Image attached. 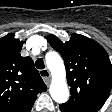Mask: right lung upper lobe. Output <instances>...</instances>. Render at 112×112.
Returning a JSON list of instances; mask_svg holds the SVG:
<instances>
[{"label":"right lung upper lobe","mask_w":112,"mask_h":112,"mask_svg":"<svg viewBox=\"0 0 112 112\" xmlns=\"http://www.w3.org/2000/svg\"><path fill=\"white\" fill-rule=\"evenodd\" d=\"M23 41L8 34L0 39V112H30L47 86L30 57H22Z\"/></svg>","instance_id":"1"}]
</instances>
